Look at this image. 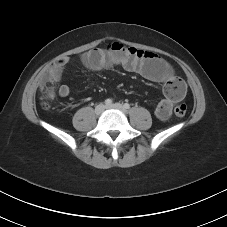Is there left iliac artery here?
Returning <instances> with one entry per match:
<instances>
[{"label":"left iliac artery","instance_id":"obj_1","mask_svg":"<svg viewBox=\"0 0 227 227\" xmlns=\"http://www.w3.org/2000/svg\"><path fill=\"white\" fill-rule=\"evenodd\" d=\"M124 108H125V109H129V108H130V104L125 103V104H124Z\"/></svg>","mask_w":227,"mask_h":227}]
</instances>
